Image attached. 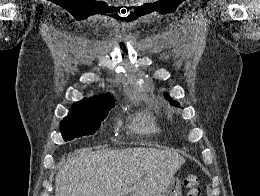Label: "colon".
<instances>
[{"mask_svg":"<svg viewBox=\"0 0 260 196\" xmlns=\"http://www.w3.org/2000/svg\"><path fill=\"white\" fill-rule=\"evenodd\" d=\"M184 183L189 189L187 196H201V185L197 176L188 175Z\"/></svg>","mask_w":260,"mask_h":196,"instance_id":"1","label":"colon"}]
</instances>
